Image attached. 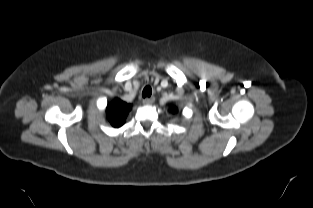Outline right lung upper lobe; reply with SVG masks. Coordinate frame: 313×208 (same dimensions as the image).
Instances as JSON below:
<instances>
[{
    "label": "right lung upper lobe",
    "mask_w": 313,
    "mask_h": 208,
    "mask_svg": "<svg viewBox=\"0 0 313 208\" xmlns=\"http://www.w3.org/2000/svg\"><path fill=\"white\" fill-rule=\"evenodd\" d=\"M131 108V104L115 98V100L111 103H108L106 107L108 122L115 128L121 127L125 123L126 117Z\"/></svg>",
    "instance_id": "obj_1"
}]
</instances>
